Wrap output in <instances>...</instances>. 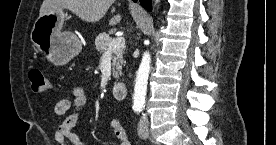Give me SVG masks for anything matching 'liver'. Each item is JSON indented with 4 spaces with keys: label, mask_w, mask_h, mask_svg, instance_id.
<instances>
[{
    "label": "liver",
    "mask_w": 276,
    "mask_h": 145,
    "mask_svg": "<svg viewBox=\"0 0 276 145\" xmlns=\"http://www.w3.org/2000/svg\"><path fill=\"white\" fill-rule=\"evenodd\" d=\"M114 0H43L39 16L53 9H68L85 22L95 23L102 19ZM121 16L115 15L109 25H116Z\"/></svg>",
    "instance_id": "6515ba94"
}]
</instances>
